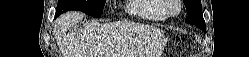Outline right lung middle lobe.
Masks as SVG:
<instances>
[{
    "label": "right lung middle lobe",
    "mask_w": 249,
    "mask_h": 57,
    "mask_svg": "<svg viewBox=\"0 0 249 57\" xmlns=\"http://www.w3.org/2000/svg\"><path fill=\"white\" fill-rule=\"evenodd\" d=\"M106 0H58L57 12L79 10L93 17H100Z\"/></svg>",
    "instance_id": "right-lung-middle-lobe-1"
}]
</instances>
